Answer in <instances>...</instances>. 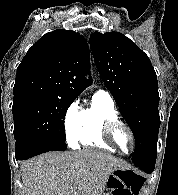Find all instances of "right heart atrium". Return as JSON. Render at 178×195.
I'll list each match as a JSON object with an SVG mask.
<instances>
[{"label": "right heart atrium", "mask_w": 178, "mask_h": 195, "mask_svg": "<svg viewBox=\"0 0 178 195\" xmlns=\"http://www.w3.org/2000/svg\"><path fill=\"white\" fill-rule=\"evenodd\" d=\"M82 116L80 100H74L64 113V128L67 142L71 147H76L82 129Z\"/></svg>", "instance_id": "1"}]
</instances>
